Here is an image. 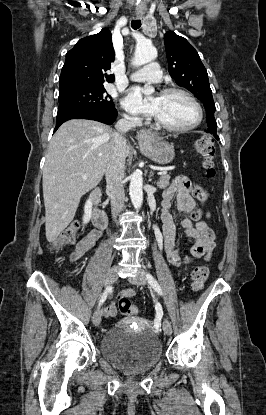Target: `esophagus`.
<instances>
[{"instance_id":"34e87169","label":"esophagus","mask_w":266,"mask_h":415,"mask_svg":"<svg viewBox=\"0 0 266 415\" xmlns=\"http://www.w3.org/2000/svg\"><path fill=\"white\" fill-rule=\"evenodd\" d=\"M141 17H142L141 14H136L137 19H140ZM149 136H150V133L148 131L142 130V131L138 132L137 139L139 141H143V140H146Z\"/></svg>"}]
</instances>
